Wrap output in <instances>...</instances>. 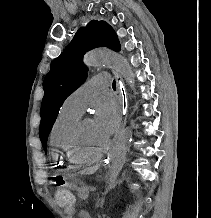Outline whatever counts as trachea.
I'll use <instances>...</instances> for the list:
<instances>
[{
	"instance_id": "trachea-1",
	"label": "trachea",
	"mask_w": 211,
	"mask_h": 218,
	"mask_svg": "<svg viewBox=\"0 0 211 218\" xmlns=\"http://www.w3.org/2000/svg\"><path fill=\"white\" fill-rule=\"evenodd\" d=\"M112 87H113V88H116V82H115V80H113Z\"/></svg>"
}]
</instances>
